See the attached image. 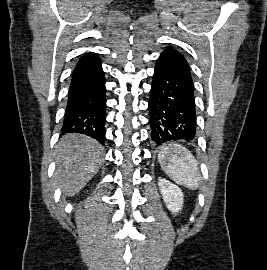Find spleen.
<instances>
[{
    "label": "spleen",
    "mask_w": 267,
    "mask_h": 270,
    "mask_svg": "<svg viewBox=\"0 0 267 270\" xmlns=\"http://www.w3.org/2000/svg\"><path fill=\"white\" fill-rule=\"evenodd\" d=\"M158 160L173 181L192 190L198 188L200 181L198 162L185 147L176 143L167 144L161 148Z\"/></svg>",
    "instance_id": "obj_1"
}]
</instances>
